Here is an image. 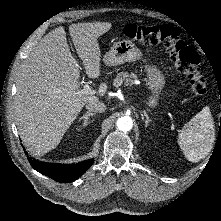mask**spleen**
Listing matches in <instances>:
<instances>
[{"instance_id": "obj_1", "label": "spleen", "mask_w": 221, "mask_h": 221, "mask_svg": "<svg viewBox=\"0 0 221 221\" xmlns=\"http://www.w3.org/2000/svg\"><path fill=\"white\" fill-rule=\"evenodd\" d=\"M214 142V121L206 106L184 125L178 143L189 161L198 162L209 154Z\"/></svg>"}]
</instances>
